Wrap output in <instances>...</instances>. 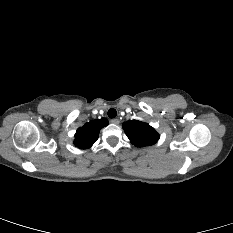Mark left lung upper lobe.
I'll list each match as a JSON object with an SVG mask.
<instances>
[{
	"label": "left lung upper lobe",
	"instance_id": "5c2ea615",
	"mask_svg": "<svg viewBox=\"0 0 233 233\" xmlns=\"http://www.w3.org/2000/svg\"><path fill=\"white\" fill-rule=\"evenodd\" d=\"M123 129L136 147H144L155 144L159 139V134L147 123L138 120L123 123Z\"/></svg>",
	"mask_w": 233,
	"mask_h": 233
}]
</instances>
